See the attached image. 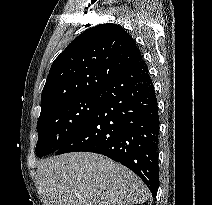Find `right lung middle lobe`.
<instances>
[{
	"instance_id": "1",
	"label": "right lung middle lobe",
	"mask_w": 212,
	"mask_h": 205,
	"mask_svg": "<svg viewBox=\"0 0 212 205\" xmlns=\"http://www.w3.org/2000/svg\"><path fill=\"white\" fill-rule=\"evenodd\" d=\"M101 101V91L67 100L44 114L37 122L36 155L56 152L89 118Z\"/></svg>"
}]
</instances>
